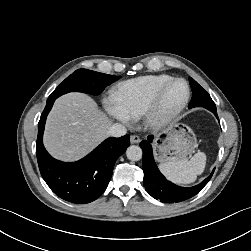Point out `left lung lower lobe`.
Listing matches in <instances>:
<instances>
[{"label": "left lung lower lobe", "mask_w": 251, "mask_h": 251, "mask_svg": "<svg viewBox=\"0 0 251 251\" xmlns=\"http://www.w3.org/2000/svg\"><path fill=\"white\" fill-rule=\"evenodd\" d=\"M218 119L217 111H211ZM219 120V119H218ZM153 136H148L147 140L140 143L143 149L142 167L144 172L143 185L146 191L155 199L163 203L182 202L198 194L211 179L215 168L210 176L194 187H180L167 181L157 168L152 152L151 142Z\"/></svg>", "instance_id": "0a47b994"}]
</instances>
